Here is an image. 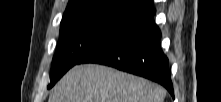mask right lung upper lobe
<instances>
[{
  "label": "right lung upper lobe",
  "mask_w": 221,
  "mask_h": 102,
  "mask_svg": "<svg viewBox=\"0 0 221 102\" xmlns=\"http://www.w3.org/2000/svg\"><path fill=\"white\" fill-rule=\"evenodd\" d=\"M93 1H98V0H69L65 12L71 11L73 9H76ZM109 1H116L124 6L138 9L141 12H145L149 10L151 7H153V3L151 0H109Z\"/></svg>",
  "instance_id": "right-lung-upper-lobe-1"
}]
</instances>
